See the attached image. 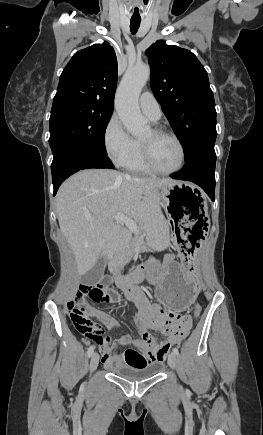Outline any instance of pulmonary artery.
I'll return each instance as SVG.
<instances>
[{"instance_id": "obj_1", "label": "pulmonary artery", "mask_w": 263, "mask_h": 435, "mask_svg": "<svg viewBox=\"0 0 263 435\" xmlns=\"http://www.w3.org/2000/svg\"><path fill=\"white\" fill-rule=\"evenodd\" d=\"M139 106L143 114H145L151 121L157 122L160 119V105L150 91L142 93L139 99Z\"/></svg>"}]
</instances>
